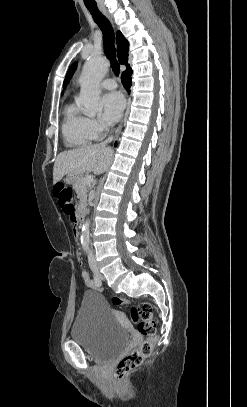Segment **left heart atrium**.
Returning <instances> with one entry per match:
<instances>
[{"label": "left heart atrium", "mask_w": 247, "mask_h": 407, "mask_svg": "<svg viewBox=\"0 0 247 407\" xmlns=\"http://www.w3.org/2000/svg\"><path fill=\"white\" fill-rule=\"evenodd\" d=\"M103 119L108 123H115L121 117L125 107V100L121 93L110 92L101 99Z\"/></svg>", "instance_id": "1"}]
</instances>
